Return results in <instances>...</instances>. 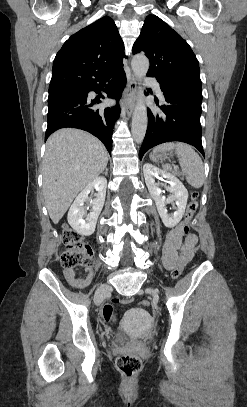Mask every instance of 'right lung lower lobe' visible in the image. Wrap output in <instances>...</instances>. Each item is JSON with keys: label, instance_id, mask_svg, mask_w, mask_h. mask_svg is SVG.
Returning a JSON list of instances; mask_svg holds the SVG:
<instances>
[{"label": "right lung lower lobe", "instance_id": "98d812e1", "mask_svg": "<svg viewBox=\"0 0 247 407\" xmlns=\"http://www.w3.org/2000/svg\"><path fill=\"white\" fill-rule=\"evenodd\" d=\"M125 85L126 75L123 67H120L90 82L85 86V94L48 103L45 140L60 128L74 127L96 136L111 153L113 128L120 114L119 104L104 110L91 109L95 102L88 100V92L92 90L99 92L105 86L107 96L119 100Z\"/></svg>", "mask_w": 247, "mask_h": 407}]
</instances>
